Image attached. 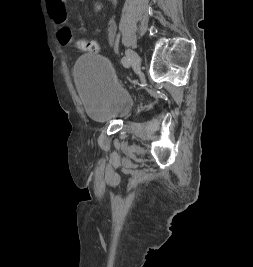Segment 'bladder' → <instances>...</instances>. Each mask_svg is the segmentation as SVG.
<instances>
[{
    "label": "bladder",
    "mask_w": 253,
    "mask_h": 267,
    "mask_svg": "<svg viewBox=\"0 0 253 267\" xmlns=\"http://www.w3.org/2000/svg\"><path fill=\"white\" fill-rule=\"evenodd\" d=\"M74 79L85 113L95 122H109L131 105L130 93L117 80L110 62L101 55H82L74 66Z\"/></svg>",
    "instance_id": "bladder-1"
}]
</instances>
